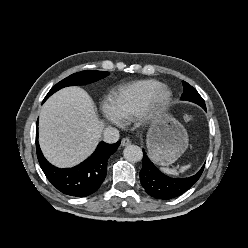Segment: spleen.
I'll return each mask as SVG.
<instances>
[{
	"instance_id": "spleen-1",
	"label": "spleen",
	"mask_w": 248,
	"mask_h": 248,
	"mask_svg": "<svg viewBox=\"0 0 248 248\" xmlns=\"http://www.w3.org/2000/svg\"><path fill=\"white\" fill-rule=\"evenodd\" d=\"M190 167V164L188 165H185V166H182L179 171L176 170V169H169V168H161V170L166 173V174H169V175H178L179 172H184L185 170H187L188 168Z\"/></svg>"
}]
</instances>
